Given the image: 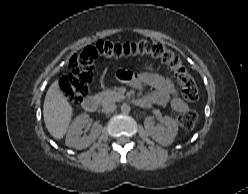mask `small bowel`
<instances>
[{"mask_svg": "<svg viewBox=\"0 0 248 194\" xmlns=\"http://www.w3.org/2000/svg\"><path fill=\"white\" fill-rule=\"evenodd\" d=\"M128 82L139 90H142L145 86L154 89L151 94L140 99L141 106L152 104L164 106L169 104L178 113L185 112L188 109L187 104L179 97L175 85L160 74L152 72L132 73L129 75Z\"/></svg>", "mask_w": 248, "mask_h": 194, "instance_id": "obj_1", "label": "small bowel"}]
</instances>
